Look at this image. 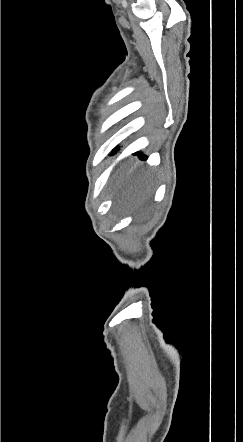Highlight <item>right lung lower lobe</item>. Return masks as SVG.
I'll use <instances>...</instances> for the list:
<instances>
[{
  "mask_svg": "<svg viewBox=\"0 0 243 442\" xmlns=\"http://www.w3.org/2000/svg\"><path fill=\"white\" fill-rule=\"evenodd\" d=\"M140 159H145L146 157L142 154H139Z\"/></svg>",
  "mask_w": 243,
  "mask_h": 442,
  "instance_id": "1",
  "label": "right lung lower lobe"
}]
</instances>
